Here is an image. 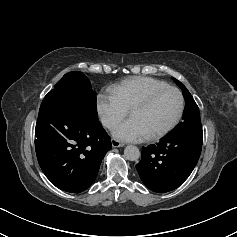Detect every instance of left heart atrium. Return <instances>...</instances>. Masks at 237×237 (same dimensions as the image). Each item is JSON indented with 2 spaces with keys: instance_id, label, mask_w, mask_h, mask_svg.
<instances>
[{
  "instance_id": "1",
  "label": "left heart atrium",
  "mask_w": 237,
  "mask_h": 237,
  "mask_svg": "<svg viewBox=\"0 0 237 237\" xmlns=\"http://www.w3.org/2000/svg\"><path fill=\"white\" fill-rule=\"evenodd\" d=\"M113 135L120 140L133 142L147 138L139 123L134 119H129L117 126L113 131Z\"/></svg>"
}]
</instances>
